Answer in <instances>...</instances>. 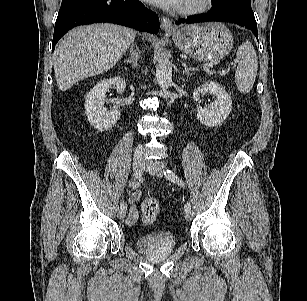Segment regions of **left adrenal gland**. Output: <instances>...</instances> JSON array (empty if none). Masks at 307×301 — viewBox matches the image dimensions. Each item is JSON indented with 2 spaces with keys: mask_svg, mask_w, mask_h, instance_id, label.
I'll use <instances>...</instances> for the list:
<instances>
[{
  "mask_svg": "<svg viewBox=\"0 0 307 301\" xmlns=\"http://www.w3.org/2000/svg\"><path fill=\"white\" fill-rule=\"evenodd\" d=\"M182 66L184 67V71H183L184 74H188L190 71L195 70V68L193 67H188V65L185 62L182 63Z\"/></svg>",
  "mask_w": 307,
  "mask_h": 301,
  "instance_id": "a2214340",
  "label": "left adrenal gland"
}]
</instances>
